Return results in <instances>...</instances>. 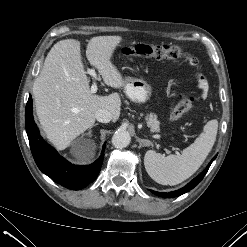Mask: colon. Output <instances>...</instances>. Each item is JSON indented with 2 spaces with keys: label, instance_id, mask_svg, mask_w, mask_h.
<instances>
[{
  "label": "colon",
  "instance_id": "obj_1",
  "mask_svg": "<svg viewBox=\"0 0 247 247\" xmlns=\"http://www.w3.org/2000/svg\"><path fill=\"white\" fill-rule=\"evenodd\" d=\"M121 53L126 56H136L152 59H179L183 58L191 65H198V59L189 51L175 45H150L135 44L121 49ZM197 100L195 94L189 93L181 97L178 104L171 113V119L179 121L190 111L194 102Z\"/></svg>",
  "mask_w": 247,
  "mask_h": 247
}]
</instances>
